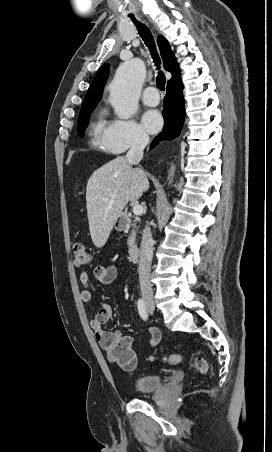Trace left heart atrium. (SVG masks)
Here are the masks:
<instances>
[{"instance_id": "obj_1", "label": "left heart atrium", "mask_w": 272, "mask_h": 452, "mask_svg": "<svg viewBox=\"0 0 272 452\" xmlns=\"http://www.w3.org/2000/svg\"><path fill=\"white\" fill-rule=\"evenodd\" d=\"M142 123L149 133H157L163 125V119L157 110H147L142 116Z\"/></svg>"}]
</instances>
